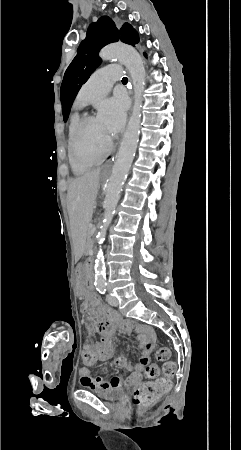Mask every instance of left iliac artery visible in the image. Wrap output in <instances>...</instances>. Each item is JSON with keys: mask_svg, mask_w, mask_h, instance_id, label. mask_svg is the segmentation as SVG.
I'll use <instances>...</instances> for the list:
<instances>
[{"mask_svg": "<svg viewBox=\"0 0 241 450\" xmlns=\"http://www.w3.org/2000/svg\"><path fill=\"white\" fill-rule=\"evenodd\" d=\"M98 291H99V293H101V294H105V293H106V286H105V285H100V286L98 287Z\"/></svg>", "mask_w": 241, "mask_h": 450, "instance_id": "1", "label": "left iliac artery"}]
</instances>
